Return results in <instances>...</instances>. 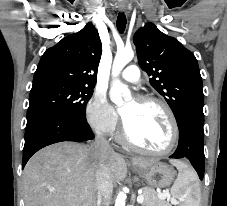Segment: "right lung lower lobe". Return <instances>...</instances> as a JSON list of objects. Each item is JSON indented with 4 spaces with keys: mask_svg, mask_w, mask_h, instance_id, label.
Segmentation results:
<instances>
[{
    "mask_svg": "<svg viewBox=\"0 0 227 206\" xmlns=\"http://www.w3.org/2000/svg\"><path fill=\"white\" fill-rule=\"evenodd\" d=\"M94 138L84 119L43 112L27 118L22 169L41 148L62 141L84 142Z\"/></svg>",
    "mask_w": 227,
    "mask_h": 206,
    "instance_id": "98d812e1",
    "label": "right lung lower lobe"
}]
</instances>
